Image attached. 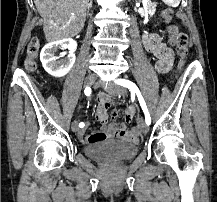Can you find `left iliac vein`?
<instances>
[{
  "mask_svg": "<svg viewBox=\"0 0 217 202\" xmlns=\"http://www.w3.org/2000/svg\"><path fill=\"white\" fill-rule=\"evenodd\" d=\"M110 95L116 96L119 94H125L126 93V89L120 86H115V85H103L102 86ZM140 129L141 131L146 134L148 132V125L145 123L144 120H140Z\"/></svg>",
  "mask_w": 217,
  "mask_h": 202,
  "instance_id": "obj_1",
  "label": "left iliac vein"
}]
</instances>
